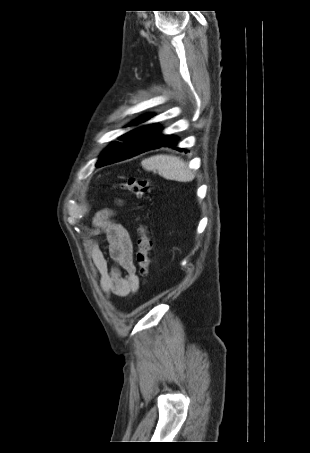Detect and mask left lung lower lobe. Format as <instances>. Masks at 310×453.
I'll return each mask as SVG.
<instances>
[{
	"instance_id": "0a47b994",
	"label": "left lung lower lobe",
	"mask_w": 310,
	"mask_h": 453,
	"mask_svg": "<svg viewBox=\"0 0 310 453\" xmlns=\"http://www.w3.org/2000/svg\"><path fill=\"white\" fill-rule=\"evenodd\" d=\"M177 144H178V137H176L174 135H167L162 140L149 144L148 146H146L145 148L140 150L138 154L146 152L151 149H157L160 147H171L178 151H183V149L176 148Z\"/></svg>"
}]
</instances>
